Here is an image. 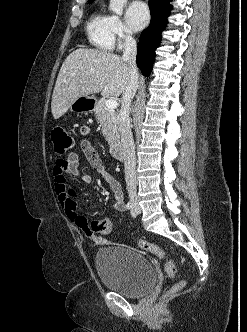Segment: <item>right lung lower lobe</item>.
<instances>
[{"instance_id":"right-lung-lower-lobe-1","label":"right lung lower lobe","mask_w":247,"mask_h":332,"mask_svg":"<svg viewBox=\"0 0 247 332\" xmlns=\"http://www.w3.org/2000/svg\"><path fill=\"white\" fill-rule=\"evenodd\" d=\"M170 1L172 0H149L151 21L139 38L136 58L139 69L146 76L151 71L155 59V50L161 41V32L168 23L167 17L172 9L169 4Z\"/></svg>"}]
</instances>
